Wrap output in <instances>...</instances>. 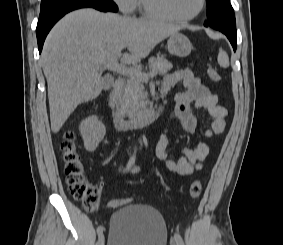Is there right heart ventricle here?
I'll return each mask as SVG.
<instances>
[{
    "label": "right heart ventricle",
    "mask_w": 283,
    "mask_h": 245,
    "mask_svg": "<svg viewBox=\"0 0 283 245\" xmlns=\"http://www.w3.org/2000/svg\"><path fill=\"white\" fill-rule=\"evenodd\" d=\"M137 5H138V6L140 5V2H139V0H137V4H136V6H137Z\"/></svg>",
    "instance_id": "right-heart-ventricle-1"
}]
</instances>
